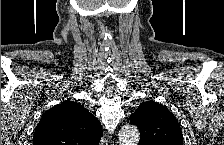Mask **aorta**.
<instances>
[{
	"label": "aorta",
	"mask_w": 224,
	"mask_h": 145,
	"mask_svg": "<svg viewBox=\"0 0 224 145\" xmlns=\"http://www.w3.org/2000/svg\"><path fill=\"white\" fill-rule=\"evenodd\" d=\"M120 145H137L140 139V133L136 126L124 125L118 133Z\"/></svg>",
	"instance_id": "1"
}]
</instances>
